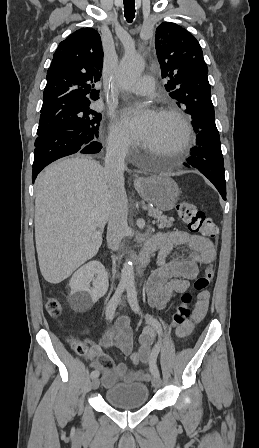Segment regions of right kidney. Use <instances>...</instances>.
Returning a JSON list of instances; mask_svg holds the SVG:
<instances>
[{
    "instance_id": "right-kidney-1",
    "label": "right kidney",
    "mask_w": 259,
    "mask_h": 448,
    "mask_svg": "<svg viewBox=\"0 0 259 448\" xmlns=\"http://www.w3.org/2000/svg\"><path fill=\"white\" fill-rule=\"evenodd\" d=\"M92 282L93 288H90ZM69 304L74 312H87L108 290V274L101 262L92 260L79 268L72 278Z\"/></svg>"
}]
</instances>
